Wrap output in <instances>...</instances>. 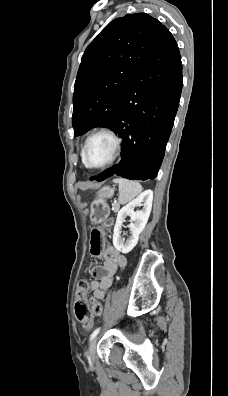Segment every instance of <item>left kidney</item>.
<instances>
[{
  "mask_svg": "<svg viewBox=\"0 0 228 396\" xmlns=\"http://www.w3.org/2000/svg\"><path fill=\"white\" fill-rule=\"evenodd\" d=\"M152 201L153 192L151 190H146L120 209L113 233V245L118 251L127 254L136 246L139 235L145 228L150 216ZM138 206H143V208L142 210L135 212L134 209ZM127 216H130L131 218V223L129 224L131 235L126 241H124L120 234L122 224Z\"/></svg>",
  "mask_w": 228,
  "mask_h": 396,
  "instance_id": "obj_1",
  "label": "left kidney"
}]
</instances>
